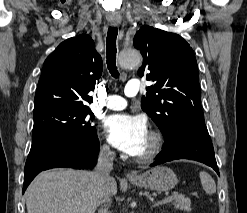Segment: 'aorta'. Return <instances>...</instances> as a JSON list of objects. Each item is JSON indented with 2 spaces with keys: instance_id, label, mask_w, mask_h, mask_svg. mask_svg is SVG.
I'll list each match as a JSON object with an SVG mask.
<instances>
[{
  "instance_id": "obj_1",
  "label": "aorta",
  "mask_w": 247,
  "mask_h": 213,
  "mask_svg": "<svg viewBox=\"0 0 247 213\" xmlns=\"http://www.w3.org/2000/svg\"><path fill=\"white\" fill-rule=\"evenodd\" d=\"M142 57L134 49L123 50L119 54V64L122 69L137 67L141 64Z\"/></svg>"
}]
</instances>
